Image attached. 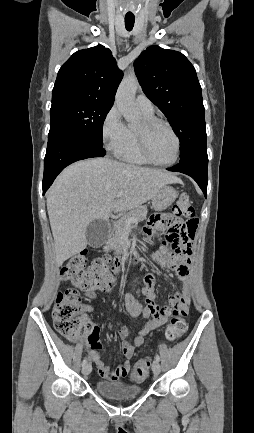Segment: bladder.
<instances>
[{
  "mask_svg": "<svg viewBox=\"0 0 254 433\" xmlns=\"http://www.w3.org/2000/svg\"><path fill=\"white\" fill-rule=\"evenodd\" d=\"M96 390L105 397L112 399H128L138 397L142 393L140 386L123 381H97Z\"/></svg>",
  "mask_w": 254,
  "mask_h": 433,
  "instance_id": "1",
  "label": "bladder"
}]
</instances>
